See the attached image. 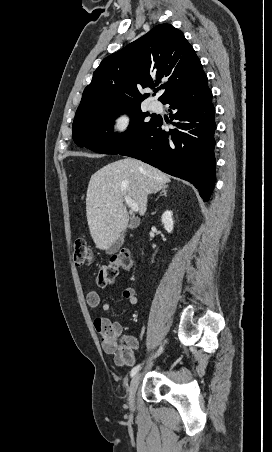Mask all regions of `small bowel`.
Masks as SVG:
<instances>
[{
  "label": "small bowel",
  "instance_id": "1",
  "mask_svg": "<svg viewBox=\"0 0 272 452\" xmlns=\"http://www.w3.org/2000/svg\"><path fill=\"white\" fill-rule=\"evenodd\" d=\"M122 296L131 305L138 303V297L133 287H127L122 291ZM87 307L91 313H96L100 306V296L96 291H89L86 295ZM103 311L108 312L111 310L112 305L109 302H105L101 305ZM94 329L101 335V344L106 352H112L113 349L109 347V344L117 339H124L129 341H135L134 338L129 336H123V328L117 322H111L106 317L96 316L93 320Z\"/></svg>",
  "mask_w": 272,
  "mask_h": 452
}]
</instances>
